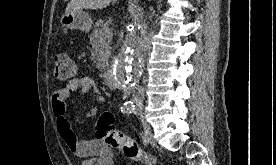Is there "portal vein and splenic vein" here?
<instances>
[{
  "mask_svg": "<svg viewBox=\"0 0 276 165\" xmlns=\"http://www.w3.org/2000/svg\"><path fill=\"white\" fill-rule=\"evenodd\" d=\"M101 34L105 37H111L112 36V31L109 27H103Z\"/></svg>",
  "mask_w": 276,
  "mask_h": 165,
  "instance_id": "obj_1",
  "label": "portal vein and splenic vein"
}]
</instances>
